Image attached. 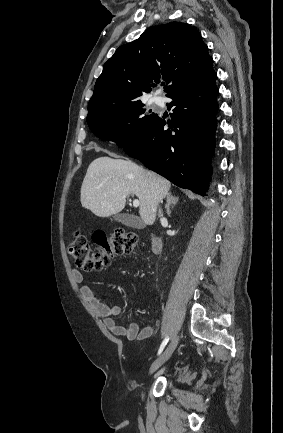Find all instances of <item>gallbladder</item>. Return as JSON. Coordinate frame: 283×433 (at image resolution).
<instances>
[{
  "label": "gallbladder",
  "mask_w": 283,
  "mask_h": 433,
  "mask_svg": "<svg viewBox=\"0 0 283 433\" xmlns=\"http://www.w3.org/2000/svg\"><path fill=\"white\" fill-rule=\"evenodd\" d=\"M111 221H118L122 225H127V227H133V229H144L145 223L139 219V217H134V214H125V212H119V214H114Z\"/></svg>",
  "instance_id": "obj_1"
}]
</instances>
